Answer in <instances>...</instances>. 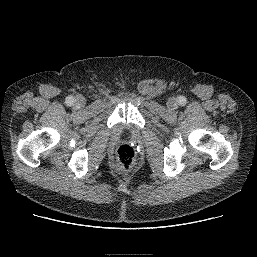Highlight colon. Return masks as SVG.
I'll list each match as a JSON object with an SVG mask.
<instances>
[{
	"label": "colon",
	"instance_id": "obj_1",
	"mask_svg": "<svg viewBox=\"0 0 257 257\" xmlns=\"http://www.w3.org/2000/svg\"><path fill=\"white\" fill-rule=\"evenodd\" d=\"M136 152L132 145L122 144L116 152V168L120 172L130 170L135 162Z\"/></svg>",
	"mask_w": 257,
	"mask_h": 257
}]
</instances>
